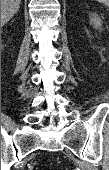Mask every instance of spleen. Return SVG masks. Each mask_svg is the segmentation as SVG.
I'll return each instance as SVG.
<instances>
[{"mask_svg": "<svg viewBox=\"0 0 109 170\" xmlns=\"http://www.w3.org/2000/svg\"><path fill=\"white\" fill-rule=\"evenodd\" d=\"M97 2L103 3L105 5H108L109 0H96Z\"/></svg>", "mask_w": 109, "mask_h": 170, "instance_id": "3e777b00", "label": "spleen"}]
</instances>
